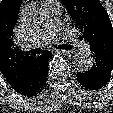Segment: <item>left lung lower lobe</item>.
Listing matches in <instances>:
<instances>
[{"label": "left lung lower lobe", "instance_id": "1", "mask_svg": "<svg viewBox=\"0 0 113 113\" xmlns=\"http://www.w3.org/2000/svg\"><path fill=\"white\" fill-rule=\"evenodd\" d=\"M95 59L92 68L85 73H77L78 82L85 88L97 90L106 85L111 77L113 55L106 52L91 50Z\"/></svg>", "mask_w": 113, "mask_h": 113}]
</instances>
